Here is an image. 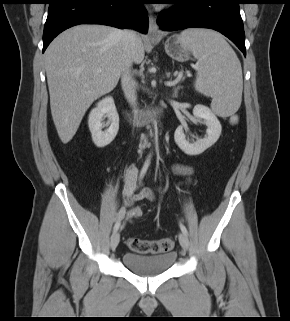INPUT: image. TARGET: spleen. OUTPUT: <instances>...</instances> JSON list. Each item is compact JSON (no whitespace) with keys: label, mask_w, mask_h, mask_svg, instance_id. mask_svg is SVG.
Instances as JSON below:
<instances>
[{"label":"spleen","mask_w":290,"mask_h":321,"mask_svg":"<svg viewBox=\"0 0 290 321\" xmlns=\"http://www.w3.org/2000/svg\"><path fill=\"white\" fill-rule=\"evenodd\" d=\"M180 42L198 60L195 89L212 97L211 108L221 117L234 114L242 101L241 63L225 39L208 29H187Z\"/></svg>","instance_id":"1"}]
</instances>
